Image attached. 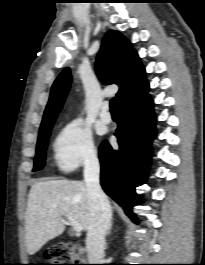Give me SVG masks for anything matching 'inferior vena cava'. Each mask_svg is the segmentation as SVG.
Instances as JSON below:
<instances>
[{"label": "inferior vena cava", "instance_id": "602c4592", "mask_svg": "<svg viewBox=\"0 0 205 265\" xmlns=\"http://www.w3.org/2000/svg\"><path fill=\"white\" fill-rule=\"evenodd\" d=\"M99 174V160L97 155L93 154L86 160L84 166V180L90 206L86 249L91 264H98L103 260L105 235L111 224L112 216L109 200L100 186Z\"/></svg>", "mask_w": 205, "mask_h": 265}]
</instances>
